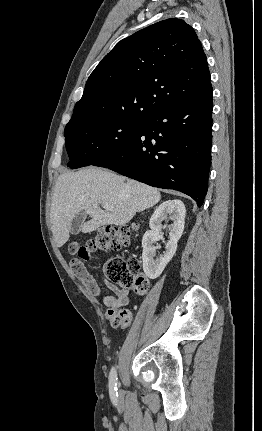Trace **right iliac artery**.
<instances>
[{
	"label": "right iliac artery",
	"instance_id": "obj_1",
	"mask_svg": "<svg viewBox=\"0 0 262 431\" xmlns=\"http://www.w3.org/2000/svg\"><path fill=\"white\" fill-rule=\"evenodd\" d=\"M117 380L118 378H117L116 369L113 367L109 375V393H110V398L113 401H115L118 397Z\"/></svg>",
	"mask_w": 262,
	"mask_h": 431
}]
</instances>
